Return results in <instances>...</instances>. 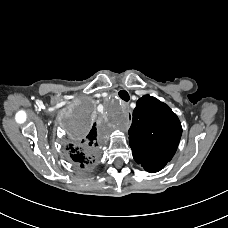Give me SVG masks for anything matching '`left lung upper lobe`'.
<instances>
[{
    "mask_svg": "<svg viewBox=\"0 0 228 228\" xmlns=\"http://www.w3.org/2000/svg\"><path fill=\"white\" fill-rule=\"evenodd\" d=\"M181 135V123L168 105L150 95L137 101L129 129V143L138 164L147 168L154 160L170 161Z\"/></svg>",
    "mask_w": 228,
    "mask_h": 228,
    "instance_id": "left-lung-upper-lobe-1",
    "label": "left lung upper lobe"
}]
</instances>
